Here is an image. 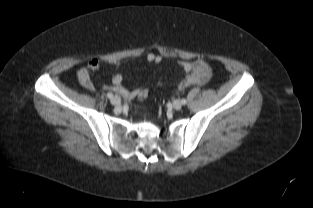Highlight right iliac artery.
Returning <instances> with one entry per match:
<instances>
[{
  "label": "right iliac artery",
  "instance_id": "obj_1",
  "mask_svg": "<svg viewBox=\"0 0 313 208\" xmlns=\"http://www.w3.org/2000/svg\"><path fill=\"white\" fill-rule=\"evenodd\" d=\"M107 97L111 99L113 97V94L112 93H107Z\"/></svg>",
  "mask_w": 313,
  "mask_h": 208
}]
</instances>
